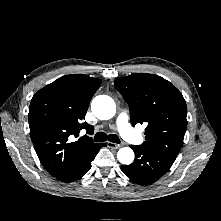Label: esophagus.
I'll list each match as a JSON object with an SVG mask.
<instances>
[{
    "label": "esophagus",
    "instance_id": "1",
    "mask_svg": "<svg viewBox=\"0 0 221 221\" xmlns=\"http://www.w3.org/2000/svg\"><path fill=\"white\" fill-rule=\"evenodd\" d=\"M107 146H108L109 148H112V149H119V148L122 147V145H120V144H115V143H112V142H107Z\"/></svg>",
    "mask_w": 221,
    "mask_h": 221
}]
</instances>
